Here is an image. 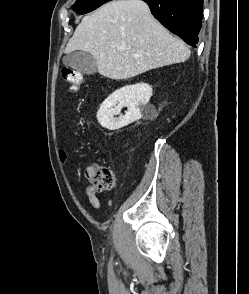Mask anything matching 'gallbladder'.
Here are the masks:
<instances>
[{
	"label": "gallbladder",
	"mask_w": 249,
	"mask_h": 294,
	"mask_svg": "<svg viewBox=\"0 0 249 294\" xmlns=\"http://www.w3.org/2000/svg\"><path fill=\"white\" fill-rule=\"evenodd\" d=\"M63 63L65 66L87 75L94 74L97 71L95 58L84 51H74L65 55Z\"/></svg>",
	"instance_id": "obj_1"
}]
</instances>
